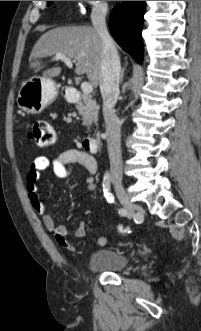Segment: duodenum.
I'll return each mask as SVG.
<instances>
[{
	"instance_id": "obj_1",
	"label": "duodenum",
	"mask_w": 201,
	"mask_h": 331,
	"mask_svg": "<svg viewBox=\"0 0 201 331\" xmlns=\"http://www.w3.org/2000/svg\"><path fill=\"white\" fill-rule=\"evenodd\" d=\"M63 95L72 103L78 100L76 90L73 87H65L63 89ZM82 145L88 152L95 153L98 151V141L92 136L84 137L82 139Z\"/></svg>"
}]
</instances>
